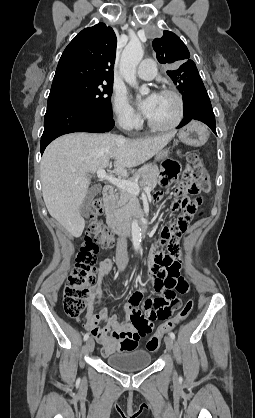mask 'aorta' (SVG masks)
Listing matches in <instances>:
<instances>
[{
	"instance_id": "762f6f07",
	"label": "aorta",
	"mask_w": 255,
	"mask_h": 418,
	"mask_svg": "<svg viewBox=\"0 0 255 418\" xmlns=\"http://www.w3.org/2000/svg\"><path fill=\"white\" fill-rule=\"evenodd\" d=\"M143 48L139 41H130L122 52L120 60V71L125 81L132 87L139 89L140 95L149 93V88L145 85L138 88L136 79V68L143 58ZM140 97V96H138ZM132 244L135 251L141 248V230L136 220L131 224Z\"/></svg>"
}]
</instances>
